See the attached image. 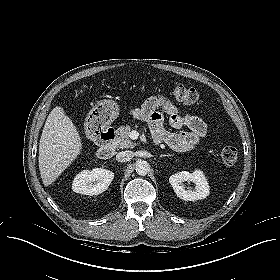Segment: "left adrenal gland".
I'll return each mask as SVG.
<instances>
[{
    "label": "left adrenal gland",
    "mask_w": 280,
    "mask_h": 280,
    "mask_svg": "<svg viewBox=\"0 0 280 280\" xmlns=\"http://www.w3.org/2000/svg\"><path fill=\"white\" fill-rule=\"evenodd\" d=\"M169 157V156H172V155H170V154H168V155H166V154H163V155H161L160 157Z\"/></svg>",
    "instance_id": "left-adrenal-gland-1"
}]
</instances>
